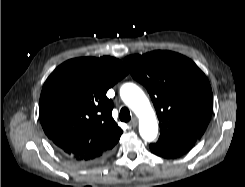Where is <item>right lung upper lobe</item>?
Wrapping results in <instances>:
<instances>
[{"label": "right lung upper lobe", "mask_w": 245, "mask_h": 187, "mask_svg": "<svg viewBox=\"0 0 245 187\" xmlns=\"http://www.w3.org/2000/svg\"><path fill=\"white\" fill-rule=\"evenodd\" d=\"M128 74L116 58L84 57L58 66L44 83L39 118L47 137L72 161L111 153L123 133L112 118L109 88Z\"/></svg>", "instance_id": "1"}]
</instances>
